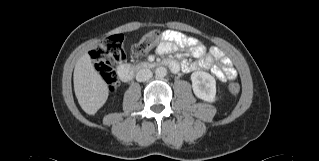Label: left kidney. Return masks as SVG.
<instances>
[{
	"mask_svg": "<svg viewBox=\"0 0 319 161\" xmlns=\"http://www.w3.org/2000/svg\"><path fill=\"white\" fill-rule=\"evenodd\" d=\"M191 81L193 92L198 98L206 102L216 100V81L212 75L203 71L193 72Z\"/></svg>",
	"mask_w": 319,
	"mask_h": 161,
	"instance_id": "1",
	"label": "left kidney"
}]
</instances>
